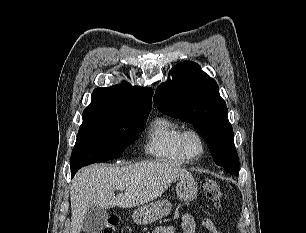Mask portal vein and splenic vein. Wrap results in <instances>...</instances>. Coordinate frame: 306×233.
<instances>
[{
	"label": "portal vein and splenic vein",
	"instance_id": "1",
	"mask_svg": "<svg viewBox=\"0 0 306 233\" xmlns=\"http://www.w3.org/2000/svg\"><path fill=\"white\" fill-rule=\"evenodd\" d=\"M118 189L123 191L125 189V187L124 186H120V187H118Z\"/></svg>",
	"mask_w": 306,
	"mask_h": 233
}]
</instances>
